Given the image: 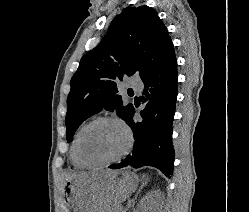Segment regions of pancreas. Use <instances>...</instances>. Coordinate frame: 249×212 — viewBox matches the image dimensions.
I'll list each match as a JSON object with an SVG mask.
<instances>
[{"instance_id":"obj_1","label":"pancreas","mask_w":249,"mask_h":212,"mask_svg":"<svg viewBox=\"0 0 249 212\" xmlns=\"http://www.w3.org/2000/svg\"><path fill=\"white\" fill-rule=\"evenodd\" d=\"M103 212H119V210H116V208L114 210L110 204H107V206H104Z\"/></svg>"}]
</instances>
